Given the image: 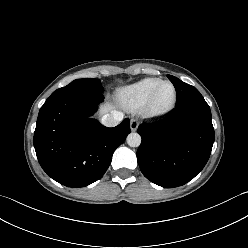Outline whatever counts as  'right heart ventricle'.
I'll return each instance as SVG.
<instances>
[{"instance_id": "e07e8e85", "label": "right heart ventricle", "mask_w": 248, "mask_h": 248, "mask_svg": "<svg viewBox=\"0 0 248 248\" xmlns=\"http://www.w3.org/2000/svg\"><path fill=\"white\" fill-rule=\"evenodd\" d=\"M161 81L159 78H144L125 86L118 91V100L128 109L140 108L153 88Z\"/></svg>"}]
</instances>
